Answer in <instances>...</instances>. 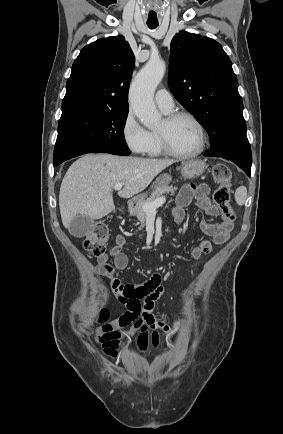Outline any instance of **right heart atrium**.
<instances>
[{"label":"right heart atrium","instance_id":"right-heart-atrium-1","mask_svg":"<svg viewBox=\"0 0 283 434\" xmlns=\"http://www.w3.org/2000/svg\"><path fill=\"white\" fill-rule=\"evenodd\" d=\"M121 133L127 148L135 154H144L150 143V132L139 122L129 109L122 123Z\"/></svg>","mask_w":283,"mask_h":434}]
</instances>
